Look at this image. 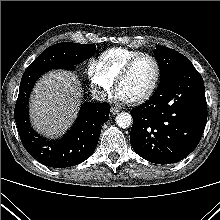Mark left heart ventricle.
<instances>
[{
    "mask_svg": "<svg viewBox=\"0 0 220 220\" xmlns=\"http://www.w3.org/2000/svg\"><path fill=\"white\" fill-rule=\"evenodd\" d=\"M155 76L154 63L147 57L140 58L128 75L121 81L118 90L130 100L144 94L151 86Z\"/></svg>",
    "mask_w": 220,
    "mask_h": 220,
    "instance_id": "left-heart-ventricle-1",
    "label": "left heart ventricle"
}]
</instances>
